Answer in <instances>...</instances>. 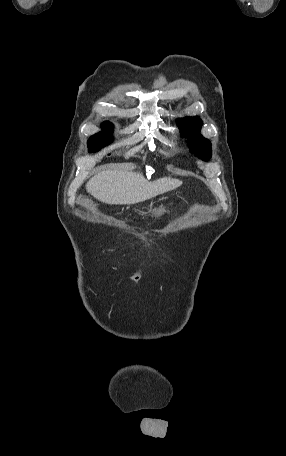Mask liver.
Wrapping results in <instances>:
<instances>
[{"instance_id": "liver-1", "label": "liver", "mask_w": 286, "mask_h": 456, "mask_svg": "<svg viewBox=\"0 0 286 456\" xmlns=\"http://www.w3.org/2000/svg\"><path fill=\"white\" fill-rule=\"evenodd\" d=\"M182 185L175 178L163 177L147 182L141 173L129 169L101 171L86 184V190L107 204L131 205L174 190Z\"/></svg>"}]
</instances>
